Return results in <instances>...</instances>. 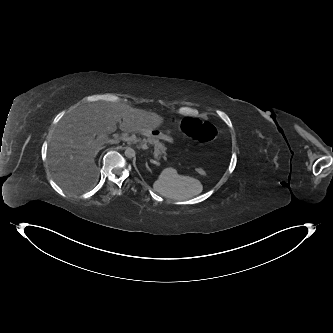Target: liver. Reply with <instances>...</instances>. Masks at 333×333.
Here are the masks:
<instances>
[{
    "label": "liver",
    "instance_id": "liver-1",
    "mask_svg": "<svg viewBox=\"0 0 333 333\" xmlns=\"http://www.w3.org/2000/svg\"><path fill=\"white\" fill-rule=\"evenodd\" d=\"M122 120V122H121ZM162 116L123 103L98 101L78 107L61 119L48 150V164L55 182L63 189L83 191L96 184L95 163L103 142L96 138L117 130L144 133L159 127Z\"/></svg>",
    "mask_w": 333,
    "mask_h": 333
}]
</instances>
